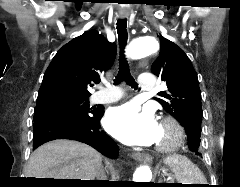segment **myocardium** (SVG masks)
Returning <instances> with one entry per match:
<instances>
[{
  "mask_svg": "<svg viewBox=\"0 0 240 187\" xmlns=\"http://www.w3.org/2000/svg\"><path fill=\"white\" fill-rule=\"evenodd\" d=\"M160 124L161 128L167 130L169 135L165 141L156 145L155 150L160 153H168L179 148L186 137L180 121L173 116H165L161 119Z\"/></svg>",
  "mask_w": 240,
  "mask_h": 187,
  "instance_id": "f54148a6",
  "label": "myocardium"
}]
</instances>
